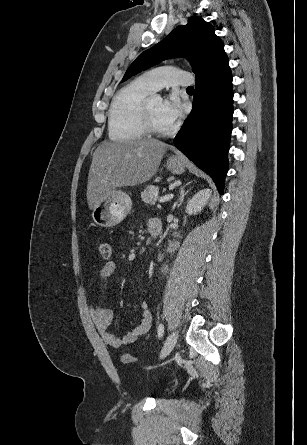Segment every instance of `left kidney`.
Masks as SVG:
<instances>
[{"label":"left kidney","mask_w":307,"mask_h":445,"mask_svg":"<svg viewBox=\"0 0 307 445\" xmlns=\"http://www.w3.org/2000/svg\"><path fill=\"white\" fill-rule=\"evenodd\" d=\"M211 192V188H203V190L196 192L191 200H189L186 206V212H188V214H197V212L205 206L209 196H211Z\"/></svg>","instance_id":"1"}]
</instances>
